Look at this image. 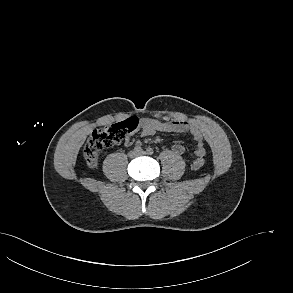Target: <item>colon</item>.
Segmentation results:
<instances>
[{
	"mask_svg": "<svg viewBox=\"0 0 293 293\" xmlns=\"http://www.w3.org/2000/svg\"><path fill=\"white\" fill-rule=\"evenodd\" d=\"M137 125V120L135 118H130L122 123L95 130L83 148V158L86 164L91 168H95L98 165L101 151L121 142L128 133L137 128ZM203 163V158L194 161L192 170H198Z\"/></svg>",
	"mask_w": 293,
	"mask_h": 293,
	"instance_id": "obj_1",
	"label": "colon"
}]
</instances>
